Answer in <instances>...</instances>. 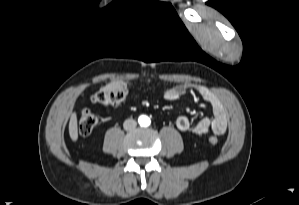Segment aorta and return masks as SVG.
<instances>
[{"instance_id":"aorta-1","label":"aorta","mask_w":299,"mask_h":205,"mask_svg":"<svg viewBox=\"0 0 299 205\" xmlns=\"http://www.w3.org/2000/svg\"><path fill=\"white\" fill-rule=\"evenodd\" d=\"M139 124L141 126H148L150 124V119L149 117L142 115L139 117Z\"/></svg>"}]
</instances>
